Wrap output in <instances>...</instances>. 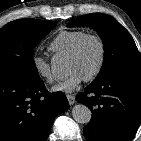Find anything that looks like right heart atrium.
Listing matches in <instances>:
<instances>
[{"instance_id": "obj_1", "label": "right heart atrium", "mask_w": 141, "mask_h": 141, "mask_svg": "<svg viewBox=\"0 0 141 141\" xmlns=\"http://www.w3.org/2000/svg\"><path fill=\"white\" fill-rule=\"evenodd\" d=\"M32 66L36 74L47 83H52L54 81L51 65L46 57L39 54H34L32 57Z\"/></svg>"}]
</instances>
